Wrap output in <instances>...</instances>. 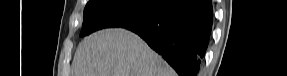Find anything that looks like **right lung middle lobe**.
I'll use <instances>...</instances> for the list:
<instances>
[{
	"label": "right lung middle lobe",
	"mask_w": 287,
	"mask_h": 76,
	"mask_svg": "<svg viewBox=\"0 0 287 76\" xmlns=\"http://www.w3.org/2000/svg\"><path fill=\"white\" fill-rule=\"evenodd\" d=\"M164 0H91L83 13L80 36L104 28H127L151 18Z\"/></svg>",
	"instance_id": "right-lung-middle-lobe-1"
}]
</instances>
